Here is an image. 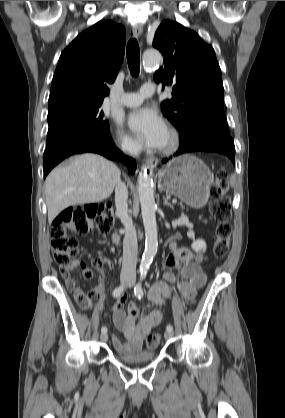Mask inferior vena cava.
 Here are the masks:
<instances>
[{"instance_id":"inferior-vena-cava-1","label":"inferior vena cava","mask_w":285,"mask_h":418,"mask_svg":"<svg viewBox=\"0 0 285 418\" xmlns=\"http://www.w3.org/2000/svg\"><path fill=\"white\" fill-rule=\"evenodd\" d=\"M122 150L132 156L138 154V149L129 144H123ZM128 190L121 180H119L115 187V206L116 213L119 215L121 222L125 227V237L123 241V261H122V275L135 276L136 264L138 254V243L135 228L133 226L132 218L128 215Z\"/></svg>"}]
</instances>
